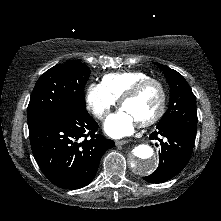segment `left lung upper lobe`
<instances>
[{
  "label": "left lung upper lobe",
  "instance_id": "obj_1",
  "mask_svg": "<svg viewBox=\"0 0 221 221\" xmlns=\"http://www.w3.org/2000/svg\"><path fill=\"white\" fill-rule=\"evenodd\" d=\"M155 64L164 71L170 86L169 108L158 125H177L196 136V97L190 86L177 71L156 62Z\"/></svg>",
  "mask_w": 221,
  "mask_h": 221
}]
</instances>
